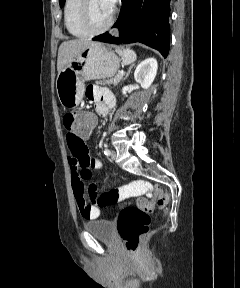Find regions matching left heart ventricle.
Returning a JSON list of instances; mask_svg holds the SVG:
<instances>
[{
    "instance_id": "1",
    "label": "left heart ventricle",
    "mask_w": 240,
    "mask_h": 288,
    "mask_svg": "<svg viewBox=\"0 0 240 288\" xmlns=\"http://www.w3.org/2000/svg\"><path fill=\"white\" fill-rule=\"evenodd\" d=\"M111 13L105 8L101 0H90L89 17L92 26L100 27L109 19Z\"/></svg>"
}]
</instances>
